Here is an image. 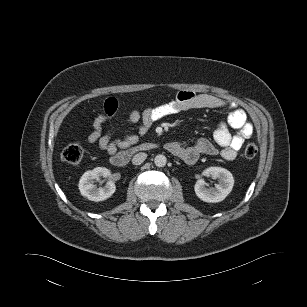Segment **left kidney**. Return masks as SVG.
Masks as SVG:
<instances>
[{
    "mask_svg": "<svg viewBox=\"0 0 307 307\" xmlns=\"http://www.w3.org/2000/svg\"><path fill=\"white\" fill-rule=\"evenodd\" d=\"M204 176L218 179L215 188H206L203 179H199L195 184V193L203 201L217 203L223 201L232 191L234 178L230 171L221 167H209L202 173Z\"/></svg>",
    "mask_w": 307,
    "mask_h": 307,
    "instance_id": "obj_1",
    "label": "left kidney"
}]
</instances>
